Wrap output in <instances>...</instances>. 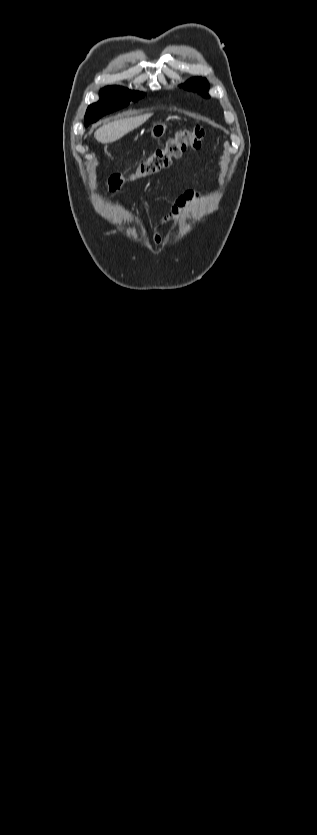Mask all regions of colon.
Segmentation results:
<instances>
[{
	"mask_svg": "<svg viewBox=\"0 0 317 835\" xmlns=\"http://www.w3.org/2000/svg\"><path fill=\"white\" fill-rule=\"evenodd\" d=\"M205 139V130L202 127H195L190 130H179L171 137L164 146L156 148L152 154L143 161L136 170L124 175L112 174L107 180L110 191L120 190L123 185L130 181L145 178L166 168L173 158L179 157L188 147L199 149Z\"/></svg>",
	"mask_w": 317,
	"mask_h": 835,
	"instance_id": "colon-1",
	"label": "colon"
}]
</instances>
